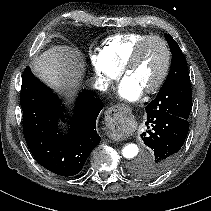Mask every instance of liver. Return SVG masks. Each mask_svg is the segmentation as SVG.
Returning <instances> with one entry per match:
<instances>
[{"label":"liver","mask_w":211,"mask_h":211,"mask_svg":"<svg viewBox=\"0 0 211 211\" xmlns=\"http://www.w3.org/2000/svg\"><path fill=\"white\" fill-rule=\"evenodd\" d=\"M83 68L78 49L54 46L34 60L32 71L51 86L72 89L79 85Z\"/></svg>","instance_id":"1"}]
</instances>
